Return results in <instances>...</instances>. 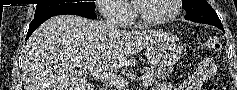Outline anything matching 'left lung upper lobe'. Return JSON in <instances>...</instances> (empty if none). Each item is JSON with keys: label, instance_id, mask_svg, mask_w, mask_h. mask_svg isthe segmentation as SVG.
<instances>
[{"label": "left lung upper lobe", "instance_id": "5c2ea615", "mask_svg": "<svg viewBox=\"0 0 237 90\" xmlns=\"http://www.w3.org/2000/svg\"><path fill=\"white\" fill-rule=\"evenodd\" d=\"M187 13L185 19L223 27L221 21L206 0H182Z\"/></svg>", "mask_w": 237, "mask_h": 90}]
</instances>
